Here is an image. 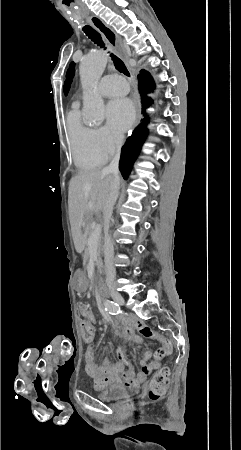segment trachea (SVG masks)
<instances>
[{"instance_id":"obj_1","label":"trachea","mask_w":241,"mask_h":450,"mask_svg":"<svg viewBox=\"0 0 241 450\" xmlns=\"http://www.w3.org/2000/svg\"><path fill=\"white\" fill-rule=\"evenodd\" d=\"M83 31L92 42L96 43L99 47L105 49V44L102 40L100 33L94 30V28L90 27L89 25H86L85 27H83ZM110 56L118 72L123 73L127 77H130V73L127 67L125 66L124 62L120 58L116 57V55H114L113 53H111Z\"/></svg>"}]
</instances>
